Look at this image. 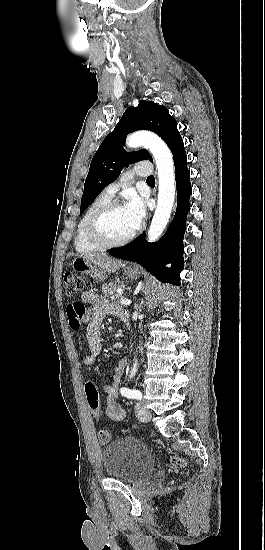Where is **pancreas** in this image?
I'll use <instances>...</instances> for the list:
<instances>
[{
	"label": "pancreas",
	"mask_w": 265,
	"mask_h": 550,
	"mask_svg": "<svg viewBox=\"0 0 265 550\" xmlns=\"http://www.w3.org/2000/svg\"><path fill=\"white\" fill-rule=\"evenodd\" d=\"M117 289H125V285L120 280L111 281L109 283H106L102 287V292L105 296H107L111 301H117L121 298V296L117 293ZM129 289V288H128Z\"/></svg>",
	"instance_id": "cf45deb5"
}]
</instances>
